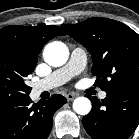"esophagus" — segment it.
I'll return each instance as SVG.
<instances>
[{"label": "esophagus", "mask_w": 139, "mask_h": 139, "mask_svg": "<svg viewBox=\"0 0 139 139\" xmlns=\"http://www.w3.org/2000/svg\"><path fill=\"white\" fill-rule=\"evenodd\" d=\"M75 97H76V95L73 94V93H68V94H66V99H67L68 101H72Z\"/></svg>", "instance_id": "esophagus-1"}]
</instances>
